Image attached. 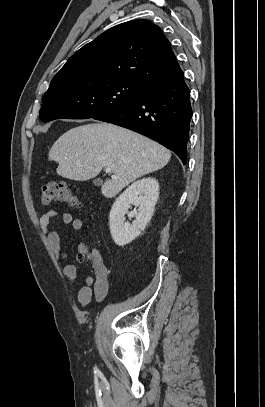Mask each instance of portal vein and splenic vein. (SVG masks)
I'll return each mask as SVG.
<instances>
[{"mask_svg":"<svg viewBox=\"0 0 265 407\" xmlns=\"http://www.w3.org/2000/svg\"><path fill=\"white\" fill-rule=\"evenodd\" d=\"M105 172H106V173H110V172H111V168H110V167H106Z\"/></svg>","mask_w":265,"mask_h":407,"instance_id":"obj_1","label":"portal vein and splenic vein"}]
</instances>
